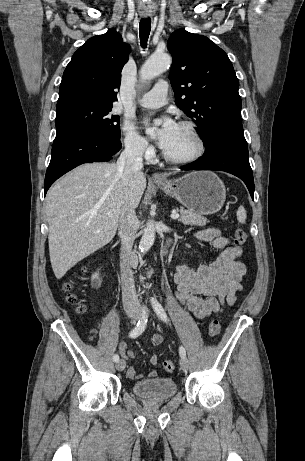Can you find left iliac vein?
Instances as JSON below:
<instances>
[{
	"instance_id": "obj_1",
	"label": "left iliac vein",
	"mask_w": 305,
	"mask_h": 461,
	"mask_svg": "<svg viewBox=\"0 0 305 461\" xmlns=\"http://www.w3.org/2000/svg\"><path fill=\"white\" fill-rule=\"evenodd\" d=\"M180 367L183 371H187L189 367V363L186 357H182L180 360Z\"/></svg>"
}]
</instances>
